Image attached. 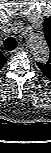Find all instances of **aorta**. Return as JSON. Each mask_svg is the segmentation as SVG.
Wrapping results in <instances>:
<instances>
[{
    "instance_id": "762f6f07",
    "label": "aorta",
    "mask_w": 51,
    "mask_h": 153,
    "mask_svg": "<svg viewBox=\"0 0 51 153\" xmlns=\"http://www.w3.org/2000/svg\"><path fill=\"white\" fill-rule=\"evenodd\" d=\"M27 45L31 54L38 60H46L48 54L47 43L43 35L31 33L27 37Z\"/></svg>"
}]
</instances>
